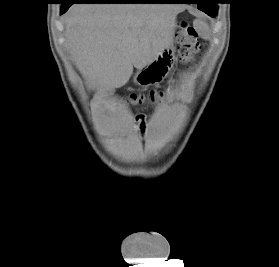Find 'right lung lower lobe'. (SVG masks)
I'll return each mask as SVG.
<instances>
[{
    "label": "right lung lower lobe",
    "mask_w": 279,
    "mask_h": 267,
    "mask_svg": "<svg viewBox=\"0 0 279 267\" xmlns=\"http://www.w3.org/2000/svg\"><path fill=\"white\" fill-rule=\"evenodd\" d=\"M164 0H134L132 2L123 0H67L62 5V13L66 12L67 9L74 3H164Z\"/></svg>",
    "instance_id": "right-lung-lower-lobe-1"
}]
</instances>
